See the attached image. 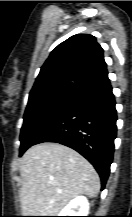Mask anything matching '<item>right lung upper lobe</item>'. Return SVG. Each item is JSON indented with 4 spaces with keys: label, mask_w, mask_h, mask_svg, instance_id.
<instances>
[{
    "label": "right lung upper lobe",
    "mask_w": 132,
    "mask_h": 217,
    "mask_svg": "<svg viewBox=\"0 0 132 217\" xmlns=\"http://www.w3.org/2000/svg\"><path fill=\"white\" fill-rule=\"evenodd\" d=\"M108 82L103 49L96 38L77 34L51 52L41 67L29 97L55 91L80 95Z\"/></svg>",
    "instance_id": "cb5924a9"
}]
</instances>
